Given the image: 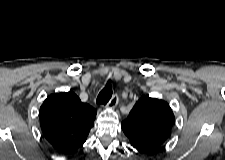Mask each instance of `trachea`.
Segmentation results:
<instances>
[{"label":"trachea","mask_w":225,"mask_h":160,"mask_svg":"<svg viewBox=\"0 0 225 160\" xmlns=\"http://www.w3.org/2000/svg\"><path fill=\"white\" fill-rule=\"evenodd\" d=\"M112 86L110 81L107 82L106 86L100 91L97 96L96 102L98 104L106 105L112 97Z\"/></svg>","instance_id":"obj_1"}]
</instances>
